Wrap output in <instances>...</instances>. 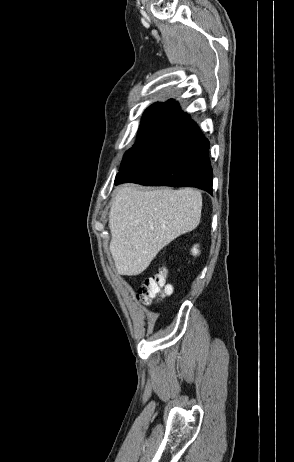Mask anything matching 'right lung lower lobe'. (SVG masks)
<instances>
[{
    "instance_id": "obj_1",
    "label": "right lung lower lobe",
    "mask_w": 294,
    "mask_h": 462,
    "mask_svg": "<svg viewBox=\"0 0 294 462\" xmlns=\"http://www.w3.org/2000/svg\"><path fill=\"white\" fill-rule=\"evenodd\" d=\"M209 142L187 114H181L155 142L143 149L115 178L148 186H193L212 194Z\"/></svg>"
}]
</instances>
